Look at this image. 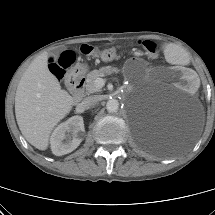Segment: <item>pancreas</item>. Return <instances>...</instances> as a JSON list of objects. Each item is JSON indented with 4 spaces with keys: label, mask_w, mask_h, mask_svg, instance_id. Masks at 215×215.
Masks as SVG:
<instances>
[{
    "label": "pancreas",
    "mask_w": 215,
    "mask_h": 215,
    "mask_svg": "<svg viewBox=\"0 0 215 215\" xmlns=\"http://www.w3.org/2000/svg\"><path fill=\"white\" fill-rule=\"evenodd\" d=\"M117 68L112 67V66H105L102 67L98 70H93L91 72H89L86 76V84H85V88H86V93L87 94H92L95 92H99L101 90V88H99L96 84H95V80L97 78L103 77L105 75H110L114 72H117Z\"/></svg>",
    "instance_id": "1"
}]
</instances>
